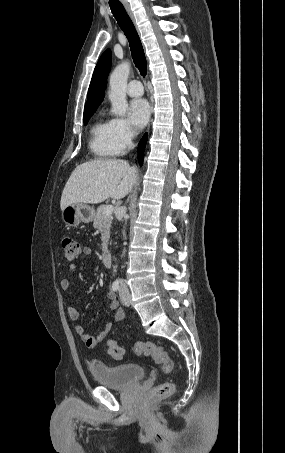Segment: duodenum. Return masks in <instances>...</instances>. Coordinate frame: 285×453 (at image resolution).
<instances>
[{
	"instance_id": "410a0bca",
	"label": "duodenum",
	"mask_w": 285,
	"mask_h": 453,
	"mask_svg": "<svg viewBox=\"0 0 285 453\" xmlns=\"http://www.w3.org/2000/svg\"><path fill=\"white\" fill-rule=\"evenodd\" d=\"M103 263L105 266H110L112 263V255L110 252L106 251L102 255Z\"/></svg>"
}]
</instances>
